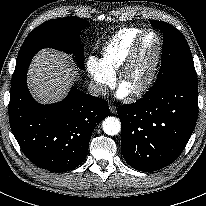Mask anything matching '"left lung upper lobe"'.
I'll list each match as a JSON object with an SVG mask.
<instances>
[{
	"label": "left lung upper lobe",
	"mask_w": 206,
	"mask_h": 206,
	"mask_svg": "<svg viewBox=\"0 0 206 206\" xmlns=\"http://www.w3.org/2000/svg\"><path fill=\"white\" fill-rule=\"evenodd\" d=\"M152 26L163 32V52L161 68L156 83L149 89V93L176 81L197 82V73L190 48L185 37L172 25L153 20Z\"/></svg>",
	"instance_id": "5c2ea615"
}]
</instances>
